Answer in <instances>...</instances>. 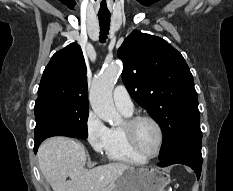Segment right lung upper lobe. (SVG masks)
I'll return each mask as SVG.
<instances>
[{"mask_svg":"<svg viewBox=\"0 0 233 191\" xmlns=\"http://www.w3.org/2000/svg\"><path fill=\"white\" fill-rule=\"evenodd\" d=\"M47 100L88 107L86 64L77 43L56 52L45 68L36 102Z\"/></svg>","mask_w":233,"mask_h":191,"instance_id":"cb5924a9","label":"right lung upper lobe"}]
</instances>
